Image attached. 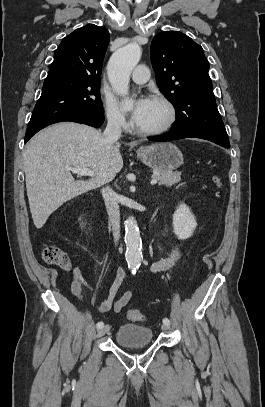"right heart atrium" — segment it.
<instances>
[{"label": "right heart atrium", "mask_w": 265, "mask_h": 407, "mask_svg": "<svg viewBox=\"0 0 265 407\" xmlns=\"http://www.w3.org/2000/svg\"><path fill=\"white\" fill-rule=\"evenodd\" d=\"M102 104L107 123L118 130H126L129 121L125 113L120 109L116 101L107 93H102Z\"/></svg>", "instance_id": "d8ad5b80"}]
</instances>
